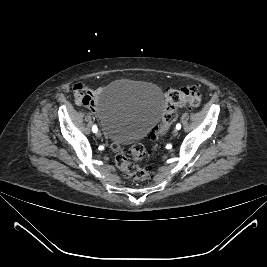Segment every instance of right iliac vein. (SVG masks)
Returning <instances> with one entry per match:
<instances>
[{"instance_id":"right-iliac-vein-1","label":"right iliac vein","mask_w":267,"mask_h":267,"mask_svg":"<svg viewBox=\"0 0 267 267\" xmlns=\"http://www.w3.org/2000/svg\"><path fill=\"white\" fill-rule=\"evenodd\" d=\"M101 136H102L101 131H97V132H96V137H97V138H100Z\"/></svg>"}]
</instances>
